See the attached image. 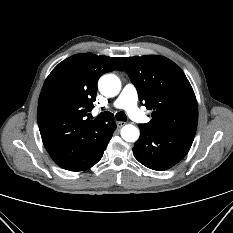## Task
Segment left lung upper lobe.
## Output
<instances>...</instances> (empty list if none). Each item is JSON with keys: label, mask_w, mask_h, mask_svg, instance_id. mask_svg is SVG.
<instances>
[{"label": "left lung upper lobe", "mask_w": 233, "mask_h": 233, "mask_svg": "<svg viewBox=\"0 0 233 233\" xmlns=\"http://www.w3.org/2000/svg\"><path fill=\"white\" fill-rule=\"evenodd\" d=\"M126 71L140 101L153 109L144 125L176 135H195L198 107L194 91L179 66L163 56L124 57Z\"/></svg>", "instance_id": "left-lung-upper-lobe-1"}]
</instances>
